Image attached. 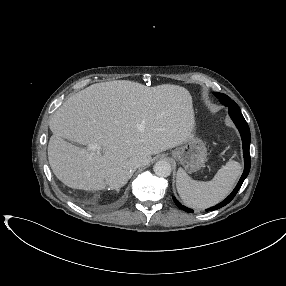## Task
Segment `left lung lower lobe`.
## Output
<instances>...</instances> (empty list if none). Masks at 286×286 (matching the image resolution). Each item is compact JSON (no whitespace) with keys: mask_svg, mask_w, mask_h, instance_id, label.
I'll return each instance as SVG.
<instances>
[{"mask_svg":"<svg viewBox=\"0 0 286 286\" xmlns=\"http://www.w3.org/2000/svg\"><path fill=\"white\" fill-rule=\"evenodd\" d=\"M229 115H230L231 119L233 120V122L235 123V125L237 126V128L240 132L241 138H242L245 168H244V172H243L237 186L231 192V194L225 200H223L221 203L207 209L206 211H213V210L219 209V208L227 205L234 198V196L236 195V193L240 189L243 181L245 180V178L247 177V175L249 174V171H250V154H249L250 130H249L248 124L245 121V119H244V117L240 111H229ZM173 200H174L175 204L180 209H182L186 212H191V213L193 212L192 209L187 208V207L183 206L181 203H179L175 197H173Z\"/></svg>","mask_w":286,"mask_h":286,"instance_id":"left-lung-lower-lobe-1","label":"left lung lower lobe"}]
</instances>
